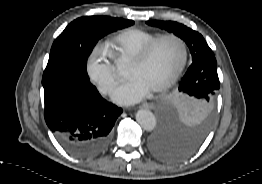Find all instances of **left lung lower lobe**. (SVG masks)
<instances>
[{"label": "left lung lower lobe", "mask_w": 262, "mask_h": 184, "mask_svg": "<svg viewBox=\"0 0 262 184\" xmlns=\"http://www.w3.org/2000/svg\"><path fill=\"white\" fill-rule=\"evenodd\" d=\"M200 63H217L214 56L206 57ZM205 136L200 138H186L173 133L166 126L161 125L157 132L150 138L148 147L151 153L160 160L178 162L192 156L202 145Z\"/></svg>", "instance_id": "1"}]
</instances>
